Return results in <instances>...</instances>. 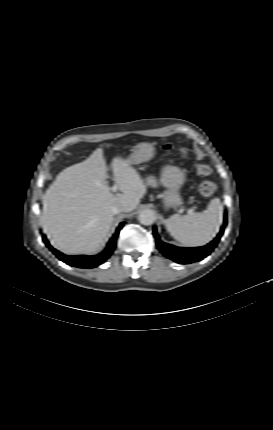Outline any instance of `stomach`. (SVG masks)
Returning <instances> with one entry per match:
<instances>
[{
  "instance_id": "1",
  "label": "stomach",
  "mask_w": 273,
  "mask_h": 430,
  "mask_svg": "<svg viewBox=\"0 0 273 430\" xmlns=\"http://www.w3.org/2000/svg\"><path fill=\"white\" fill-rule=\"evenodd\" d=\"M155 155V147L148 142H141L129 157L130 164H140L151 160ZM186 173L177 166L166 165L161 173V183L166 188L162 200L166 207L176 208L182 204L179 190L184 184Z\"/></svg>"
}]
</instances>
